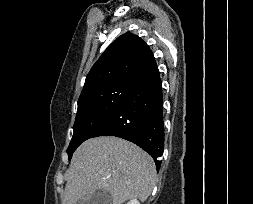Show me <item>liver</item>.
I'll use <instances>...</instances> for the list:
<instances>
[{
    "instance_id": "liver-1",
    "label": "liver",
    "mask_w": 253,
    "mask_h": 204,
    "mask_svg": "<svg viewBox=\"0 0 253 204\" xmlns=\"http://www.w3.org/2000/svg\"><path fill=\"white\" fill-rule=\"evenodd\" d=\"M62 204H76L98 189L107 190L113 204L150 196L156 183V167L137 145L114 136L91 138L74 152L66 173Z\"/></svg>"
}]
</instances>
